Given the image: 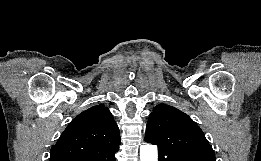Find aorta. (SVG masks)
Returning a JSON list of instances; mask_svg holds the SVG:
<instances>
[{
    "label": "aorta",
    "mask_w": 261,
    "mask_h": 161,
    "mask_svg": "<svg viewBox=\"0 0 261 161\" xmlns=\"http://www.w3.org/2000/svg\"><path fill=\"white\" fill-rule=\"evenodd\" d=\"M140 161H158L157 146L152 144L141 145Z\"/></svg>",
    "instance_id": "1"
}]
</instances>
